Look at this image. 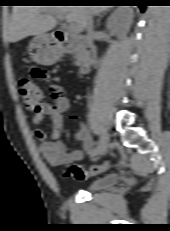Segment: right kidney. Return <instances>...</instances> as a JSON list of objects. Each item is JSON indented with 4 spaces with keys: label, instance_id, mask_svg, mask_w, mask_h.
I'll return each mask as SVG.
<instances>
[{
    "label": "right kidney",
    "instance_id": "ca27d5eb",
    "mask_svg": "<svg viewBox=\"0 0 170 231\" xmlns=\"http://www.w3.org/2000/svg\"><path fill=\"white\" fill-rule=\"evenodd\" d=\"M133 22V11L129 7H120L107 20V28L123 38L129 32Z\"/></svg>",
    "mask_w": 170,
    "mask_h": 231
}]
</instances>
